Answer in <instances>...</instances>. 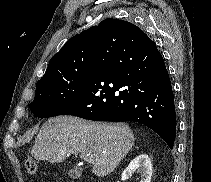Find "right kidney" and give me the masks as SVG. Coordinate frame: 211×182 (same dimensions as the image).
Here are the masks:
<instances>
[{"label": "right kidney", "mask_w": 211, "mask_h": 182, "mask_svg": "<svg viewBox=\"0 0 211 182\" xmlns=\"http://www.w3.org/2000/svg\"><path fill=\"white\" fill-rule=\"evenodd\" d=\"M134 172L140 174V182H151L152 163L148 155L140 154L123 171L122 178L128 179Z\"/></svg>", "instance_id": "right-kidney-1"}]
</instances>
